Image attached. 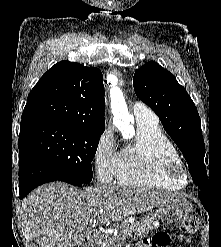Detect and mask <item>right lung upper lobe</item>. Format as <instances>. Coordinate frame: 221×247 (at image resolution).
I'll return each mask as SVG.
<instances>
[{
  "instance_id": "1",
  "label": "right lung upper lobe",
  "mask_w": 221,
  "mask_h": 247,
  "mask_svg": "<svg viewBox=\"0 0 221 247\" xmlns=\"http://www.w3.org/2000/svg\"><path fill=\"white\" fill-rule=\"evenodd\" d=\"M104 109L101 71L61 61L48 70L29 93L20 129L69 124L102 134Z\"/></svg>"
}]
</instances>
